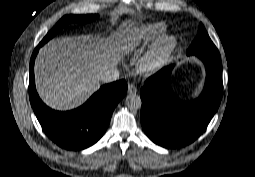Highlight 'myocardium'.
Instances as JSON below:
<instances>
[{
  "label": "myocardium",
  "instance_id": "1",
  "mask_svg": "<svg viewBox=\"0 0 255 177\" xmlns=\"http://www.w3.org/2000/svg\"><path fill=\"white\" fill-rule=\"evenodd\" d=\"M176 48V41L172 36H166L157 41L137 63V73L148 76L159 71L168 61Z\"/></svg>",
  "mask_w": 255,
  "mask_h": 177
}]
</instances>
